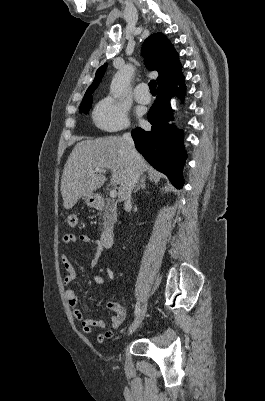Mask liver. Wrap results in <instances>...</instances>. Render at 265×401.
<instances>
[{"instance_id":"1","label":"liver","mask_w":265,"mask_h":401,"mask_svg":"<svg viewBox=\"0 0 265 401\" xmlns=\"http://www.w3.org/2000/svg\"><path fill=\"white\" fill-rule=\"evenodd\" d=\"M86 138V136H80ZM136 152V150H135ZM95 168L112 170L111 184L118 186L119 201H124L123 188L128 182L131 170H139L140 176L147 170L148 164L137 152L132 158L122 136H104V138H87L75 144L66 160L62 178L61 194L64 209H72L82 196H92L94 190L104 184L106 178Z\"/></svg>"}]
</instances>
